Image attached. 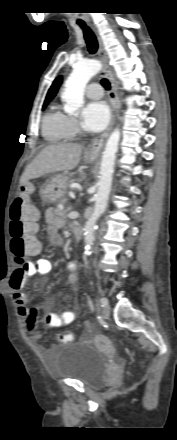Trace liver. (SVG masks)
Here are the masks:
<instances>
[{
    "label": "liver",
    "mask_w": 177,
    "mask_h": 440,
    "mask_svg": "<svg viewBox=\"0 0 177 440\" xmlns=\"http://www.w3.org/2000/svg\"><path fill=\"white\" fill-rule=\"evenodd\" d=\"M82 145L65 143L45 147L26 167L20 183L45 174L74 169L82 154Z\"/></svg>",
    "instance_id": "6515ba94"
}]
</instances>
